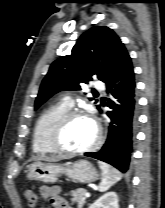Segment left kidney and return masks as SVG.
I'll return each mask as SVG.
<instances>
[{
	"instance_id": "5707ae66",
	"label": "left kidney",
	"mask_w": 165,
	"mask_h": 208,
	"mask_svg": "<svg viewBox=\"0 0 165 208\" xmlns=\"http://www.w3.org/2000/svg\"><path fill=\"white\" fill-rule=\"evenodd\" d=\"M89 208H119L116 192H108L97 199Z\"/></svg>"
}]
</instances>
